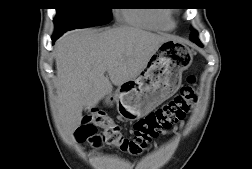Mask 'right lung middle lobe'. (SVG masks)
I'll list each match as a JSON object with an SVG mask.
<instances>
[{
  "label": "right lung middle lobe",
  "instance_id": "1",
  "mask_svg": "<svg viewBox=\"0 0 252 169\" xmlns=\"http://www.w3.org/2000/svg\"><path fill=\"white\" fill-rule=\"evenodd\" d=\"M55 32L104 25L111 21L109 0H58Z\"/></svg>",
  "mask_w": 252,
  "mask_h": 169
}]
</instances>
